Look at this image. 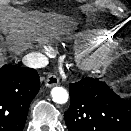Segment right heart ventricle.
I'll use <instances>...</instances> for the list:
<instances>
[{
    "mask_svg": "<svg viewBox=\"0 0 131 131\" xmlns=\"http://www.w3.org/2000/svg\"><path fill=\"white\" fill-rule=\"evenodd\" d=\"M109 38L108 32L102 29H92L84 33H81L77 36V39L80 41L98 43L105 39Z\"/></svg>",
    "mask_w": 131,
    "mask_h": 131,
    "instance_id": "right-heart-ventricle-1",
    "label": "right heart ventricle"
}]
</instances>
